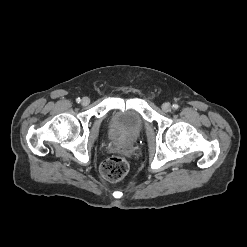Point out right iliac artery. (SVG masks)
Instances as JSON below:
<instances>
[{"label": "right iliac artery", "instance_id": "right-iliac-artery-1", "mask_svg": "<svg viewBox=\"0 0 247 247\" xmlns=\"http://www.w3.org/2000/svg\"><path fill=\"white\" fill-rule=\"evenodd\" d=\"M76 102H77V103H80V102H81V99H80V98H77V99H76Z\"/></svg>", "mask_w": 247, "mask_h": 247}]
</instances>
